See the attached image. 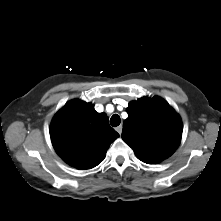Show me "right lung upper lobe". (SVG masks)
I'll return each mask as SVG.
<instances>
[{
	"label": "right lung upper lobe",
	"instance_id": "cb5924a9",
	"mask_svg": "<svg viewBox=\"0 0 221 221\" xmlns=\"http://www.w3.org/2000/svg\"><path fill=\"white\" fill-rule=\"evenodd\" d=\"M108 116L94 105L72 100L52 120L50 137L57 154L78 169L97 166L119 134L109 126Z\"/></svg>",
	"mask_w": 221,
	"mask_h": 221
}]
</instances>
